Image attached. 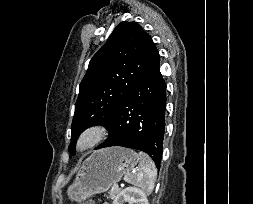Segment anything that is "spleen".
Masks as SVG:
<instances>
[{
  "instance_id": "1",
  "label": "spleen",
  "mask_w": 253,
  "mask_h": 204,
  "mask_svg": "<svg viewBox=\"0 0 253 204\" xmlns=\"http://www.w3.org/2000/svg\"><path fill=\"white\" fill-rule=\"evenodd\" d=\"M139 165L136 171L127 173L124 180L132 185L140 187L146 193H151L154 189L157 177V169L152 159L143 152L138 153Z\"/></svg>"
}]
</instances>
